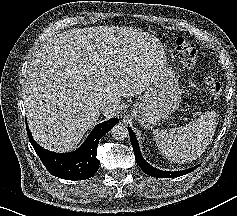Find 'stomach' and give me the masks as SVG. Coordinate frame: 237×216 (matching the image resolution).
I'll list each match as a JSON object with an SVG mask.
<instances>
[{
  "instance_id": "obj_1",
  "label": "stomach",
  "mask_w": 237,
  "mask_h": 216,
  "mask_svg": "<svg viewBox=\"0 0 237 216\" xmlns=\"http://www.w3.org/2000/svg\"><path fill=\"white\" fill-rule=\"evenodd\" d=\"M174 78L152 82L131 108V115L145 128L167 118L179 106L181 92Z\"/></svg>"
}]
</instances>
